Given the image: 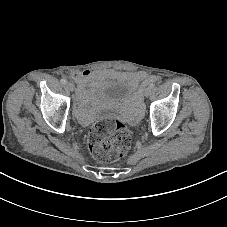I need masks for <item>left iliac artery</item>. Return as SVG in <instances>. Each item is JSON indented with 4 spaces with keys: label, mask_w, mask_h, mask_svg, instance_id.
<instances>
[{
    "label": "left iliac artery",
    "mask_w": 227,
    "mask_h": 227,
    "mask_svg": "<svg viewBox=\"0 0 227 227\" xmlns=\"http://www.w3.org/2000/svg\"><path fill=\"white\" fill-rule=\"evenodd\" d=\"M149 87L153 89L155 87V84L151 83Z\"/></svg>",
    "instance_id": "obj_1"
}]
</instances>
